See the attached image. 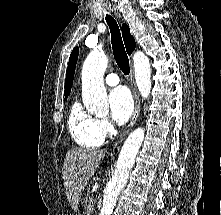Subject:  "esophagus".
Instances as JSON below:
<instances>
[{"instance_id":"34e87169","label":"esophagus","mask_w":221,"mask_h":215,"mask_svg":"<svg viewBox=\"0 0 221 215\" xmlns=\"http://www.w3.org/2000/svg\"><path fill=\"white\" fill-rule=\"evenodd\" d=\"M117 16L119 18H121V15L119 13H117ZM129 81H130L131 88H132L135 107H134V111H133V114L131 116L129 124L127 125L125 131L119 137V142L123 141V139L129 133L131 128L135 125V123H136V121H137V119L140 115V110H141L140 96H139V93H138V90H137V87H136V83H135L134 68H133L132 63L130 64Z\"/></svg>"}]
</instances>
